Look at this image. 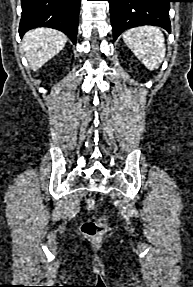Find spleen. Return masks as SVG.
Returning <instances> with one entry per match:
<instances>
[{
  "mask_svg": "<svg viewBox=\"0 0 193 287\" xmlns=\"http://www.w3.org/2000/svg\"><path fill=\"white\" fill-rule=\"evenodd\" d=\"M123 41L149 70L158 69L164 60L165 39L158 27L141 26L126 30Z\"/></svg>",
  "mask_w": 193,
  "mask_h": 287,
  "instance_id": "3e777b00",
  "label": "spleen"
}]
</instances>
